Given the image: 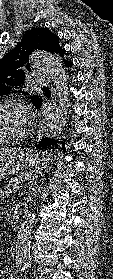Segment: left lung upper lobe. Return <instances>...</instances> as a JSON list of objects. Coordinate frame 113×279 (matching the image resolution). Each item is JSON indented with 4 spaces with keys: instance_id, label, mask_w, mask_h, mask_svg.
<instances>
[{
    "instance_id": "left-lung-upper-lobe-1",
    "label": "left lung upper lobe",
    "mask_w": 113,
    "mask_h": 279,
    "mask_svg": "<svg viewBox=\"0 0 113 279\" xmlns=\"http://www.w3.org/2000/svg\"><path fill=\"white\" fill-rule=\"evenodd\" d=\"M38 49L56 52L61 56L65 53V50L59 46V37L50 30L35 28L26 32L21 42L0 59V96L24 85L26 71H30L29 55ZM30 99L34 105L41 100L35 95Z\"/></svg>"
}]
</instances>
